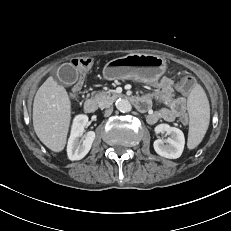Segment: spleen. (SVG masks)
I'll return each instance as SVG.
<instances>
[{"instance_id": "spleen-1", "label": "spleen", "mask_w": 231, "mask_h": 231, "mask_svg": "<svg viewBox=\"0 0 231 231\" xmlns=\"http://www.w3.org/2000/svg\"><path fill=\"white\" fill-rule=\"evenodd\" d=\"M188 113L190 116L188 148L193 149L204 138L210 119L209 101L200 85H195L188 97Z\"/></svg>"}]
</instances>
